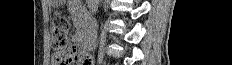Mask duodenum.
Instances as JSON below:
<instances>
[{
    "label": "duodenum",
    "mask_w": 232,
    "mask_h": 65,
    "mask_svg": "<svg viewBox=\"0 0 232 65\" xmlns=\"http://www.w3.org/2000/svg\"><path fill=\"white\" fill-rule=\"evenodd\" d=\"M93 36L94 30L92 24H89L85 29L81 31L79 35V41L81 42L83 50L85 52L90 51L93 48Z\"/></svg>",
    "instance_id": "obj_1"
}]
</instances>
